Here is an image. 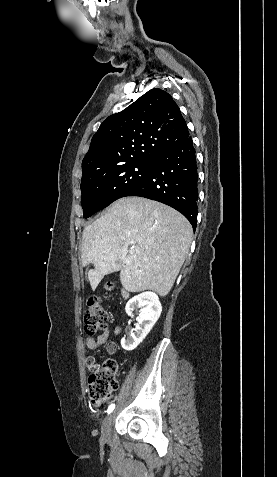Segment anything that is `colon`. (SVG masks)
<instances>
[{"mask_svg":"<svg viewBox=\"0 0 277 477\" xmlns=\"http://www.w3.org/2000/svg\"><path fill=\"white\" fill-rule=\"evenodd\" d=\"M107 289L112 290V285L108 284ZM107 318L108 313L98 297H89L84 313L86 332L95 334L105 327ZM117 387V364L114 360L108 359L103 364L95 363L90 367L87 393L92 405L98 407L106 403Z\"/></svg>","mask_w":277,"mask_h":477,"instance_id":"1","label":"colon"}]
</instances>
